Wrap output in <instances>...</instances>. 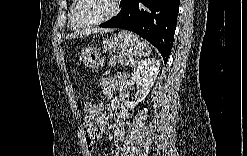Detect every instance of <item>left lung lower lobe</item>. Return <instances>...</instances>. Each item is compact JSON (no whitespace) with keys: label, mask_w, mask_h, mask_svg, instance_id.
I'll return each instance as SVG.
<instances>
[{"label":"left lung lower lobe","mask_w":247,"mask_h":156,"mask_svg":"<svg viewBox=\"0 0 247 156\" xmlns=\"http://www.w3.org/2000/svg\"><path fill=\"white\" fill-rule=\"evenodd\" d=\"M119 14L102 23L103 28H122L132 31L153 44L164 62L174 41L179 0H122Z\"/></svg>","instance_id":"obj_1"}]
</instances>
